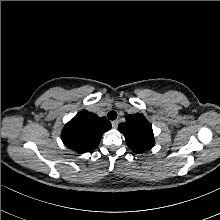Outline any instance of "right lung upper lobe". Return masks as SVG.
Returning a JSON list of instances; mask_svg holds the SVG:
<instances>
[{
  "mask_svg": "<svg viewBox=\"0 0 220 220\" xmlns=\"http://www.w3.org/2000/svg\"><path fill=\"white\" fill-rule=\"evenodd\" d=\"M110 129L111 123L105 117L83 110L64 126L61 138L68 148L85 153L95 149L103 133Z\"/></svg>",
  "mask_w": 220,
  "mask_h": 220,
  "instance_id": "cb5924a9",
  "label": "right lung upper lobe"
}]
</instances>
